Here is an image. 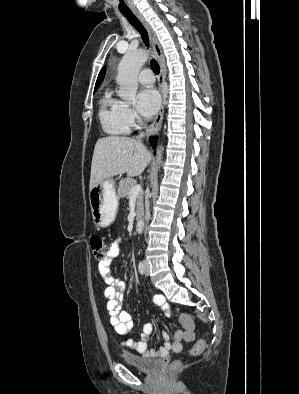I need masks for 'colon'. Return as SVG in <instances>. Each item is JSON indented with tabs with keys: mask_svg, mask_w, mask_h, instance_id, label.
Masks as SVG:
<instances>
[{
	"mask_svg": "<svg viewBox=\"0 0 299 394\" xmlns=\"http://www.w3.org/2000/svg\"><path fill=\"white\" fill-rule=\"evenodd\" d=\"M90 247L93 253V256L97 260H103L107 257L110 249V244L109 242L98 235H93L90 238ZM206 342L202 339L198 340L193 344V346L190 349V354L192 356H198L203 349L205 348ZM181 362L180 361H174L171 365L172 369H176L180 366Z\"/></svg>",
	"mask_w": 299,
	"mask_h": 394,
	"instance_id": "obj_1",
	"label": "colon"
}]
</instances>
